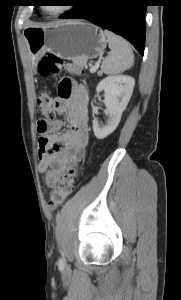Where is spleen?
Wrapping results in <instances>:
<instances>
[{
	"label": "spleen",
	"instance_id": "1",
	"mask_svg": "<svg viewBox=\"0 0 181 300\" xmlns=\"http://www.w3.org/2000/svg\"><path fill=\"white\" fill-rule=\"evenodd\" d=\"M105 35L111 51L101 64V71L107 75H115L131 68L134 54L129 43L111 31L105 30Z\"/></svg>",
	"mask_w": 181,
	"mask_h": 300
}]
</instances>
